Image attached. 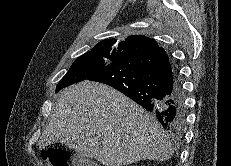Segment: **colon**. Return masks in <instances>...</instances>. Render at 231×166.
I'll use <instances>...</instances> for the list:
<instances>
[{"mask_svg":"<svg viewBox=\"0 0 231 166\" xmlns=\"http://www.w3.org/2000/svg\"><path fill=\"white\" fill-rule=\"evenodd\" d=\"M44 166H69L70 155L68 152L58 149L51 148L44 152L43 155ZM85 166H96L94 164H87Z\"/></svg>","mask_w":231,"mask_h":166,"instance_id":"1","label":"colon"}]
</instances>
